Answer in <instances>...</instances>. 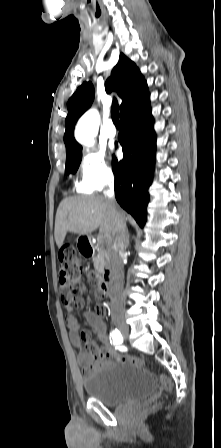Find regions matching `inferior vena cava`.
<instances>
[{
  "mask_svg": "<svg viewBox=\"0 0 221 448\" xmlns=\"http://www.w3.org/2000/svg\"><path fill=\"white\" fill-rule=\"evenodd\" d=\"M104 196L109 203L112 213L115 215V226L109 249L111 272L113 275L111 309L113 314H119L122 311L121 291L124 282L123 256L127 247L126 222L114 196L113 180L107 182Z\"/></svg>",
  "mask_w": 221,
  "mask_h": 448,
  "instance_id": "obj_1",
  "label": "inferior vena cava"
}]
</instances>
